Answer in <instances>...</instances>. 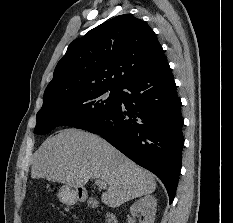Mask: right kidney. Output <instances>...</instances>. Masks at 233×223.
Returning a JSON list of instances; mask_svg holds the SVG:
<instances>
[{"instance_id": "ca27d5eb", "label": "right kidney", "mask_w": 233, "mask_h": 223, "mask_svg": "<svg viewBox=\"0 0 233 223\" xmlns=\"http://www.w3.org/2000/svg\"><path fill=\"white\" fill-rule=\"evenodd\" d=\"M157 199L154 195H144L137 201H134L130 207V213L134 217L143 215V219H139V223H154L156 215Z\"/></svg>"}]
</instances>
